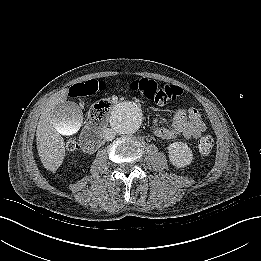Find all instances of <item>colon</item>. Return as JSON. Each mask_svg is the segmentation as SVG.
<instances>
[{"mask_svg":"<svg viewBox=\"0 0 261 261\" xmlns=\"http://www.w3.org/2000/svg\"><path fill=\"white\" fill-rule=\"evenodd\" d=\"M127 89L144 96L146 99L157 104H164L168 101L176 100L181 94L180 87L171 84L158 83L155 80L140 78L130 81L126 85ZM106 84L102 81L90 80L85 83H80L71 89L70 94L74 97L90 96L99 91H103ZM111 104L108 101H99L94 104L89 111V119L92 124L103 122L110 111ZM199 150L203 154L211 152L214 146V140L207 135L200 139ZM79 147L76 140H70L67 143L69 151H75Z\"/></svg>","mask_w":261,"mask_h":261,"instance_id":"obj_1","label":"colon"}]
</instances>
